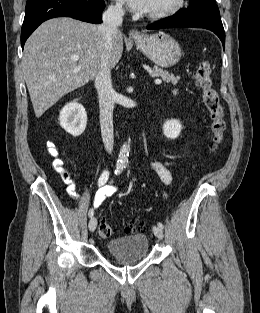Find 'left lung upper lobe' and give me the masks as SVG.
<instances>
[{
  "label": "left lung upper lobe",
  "instance_id": "1",
  "mask_svg": "<svg viewBox=\"0 0 260 313\" xmlns=\"http://www.w3.org/2000/svg\"><path fill=\"white\" fill-rule=\"evenodd\" d=\"M189 2L190 6L186 10L177 12L173 17L185 16L222 23L219 9L214 0H189Z\"/></svg>",
  "mask_w": 260,
  "mask_h": 313
}]
</instances>
